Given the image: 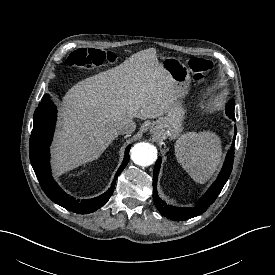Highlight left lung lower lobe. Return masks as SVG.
Listing matches in <instances>:
<instances>
[{
	"instance_id": "left-lung-lower-lobe-1",
	"label": "left lung lower lobe",
	"mask_w": 275,
	"mask_h": 275,
	"mask_svg": "<svg viewBox=\"0 0 275 275\" xmlns=\"http://www.w3.org/2000/svg\"><path fill=\"white\" fill-rule=\"evenodd\" d=\"M235 120V118H233ZM236 131V128H235ZM235 138L236 133L233 138V143L231 145L230 150L226 156L224 165L222 170L216 180V182L208 189L204 196L200 198L197 203V206L193 208H178L174 206H167V204L162 201L158 194H157V178L158 173L161 165V157L158 158L153 171V200L155 206L158 208L160 213L165 217L172 219V220H186L192 217H195L199 214H202L206 211V209L215 201L219 193L221 192L223 186L225 185L226 181L228 180L232 167H233V160H234V145H235Z\"/></svg>"
}]
</instances>
